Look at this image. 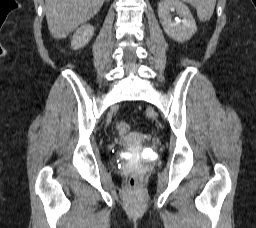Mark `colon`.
<instances>
[{"instance_id": "1", "label": "colon", "mask_w": 256, "mask_h": 228, "mask_svg": "<svg viewBox=\"0 0 256 228\" xmlns=\"http://www.w3.org/2000/svg\"><path fill=\"white\" fill-rule=\"evenodd\" d=\"M116 131L120 134V135H124L129 131V125L128 123L124 122V121H119L116 123ZM138 184V180L135 176H131L130 180H129V185L131 188H135Z\"/></svg>"}]
</instances>
